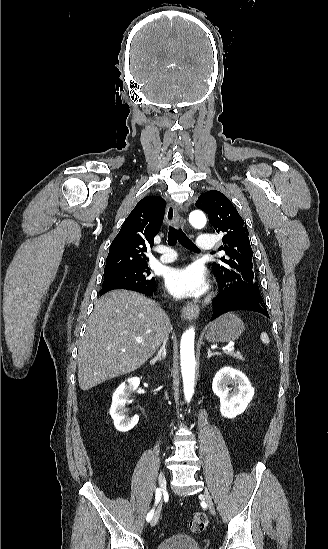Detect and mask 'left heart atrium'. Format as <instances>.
<instances>
[{
    "label": "left heart atrium",
    "instance_id": "39dd6f15",
    "mask_svg": "<svg viewBox=\"0 0 328 549\" xmlns=\"http://www.w3.org/2000/svg\"><path fill=\"white\" fill-rule=\"evenodd\" d=\"M165 285L172 295L184 298L202 295L208 287V282L204 268L190 264L172 269L165 278Z\"/></svg>",
    "mask_w": 328,
    "mask_h": 549
}]
</instances>
